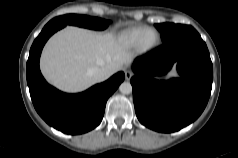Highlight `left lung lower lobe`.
<instances>
[{"mask_svg":"<svg viewBox=\"0 0 238 158\" xmlns=\"http://www.w3.org/2000/svg\"><path fill=\"white\" fill-rule=\"evenodd\" d=\"M174 63L180 78L154 79ZM131 78L138 120L158 132H175L195 121L209 100L213 67L205 42L196 30L164 42L153 52L137 57Z\"/></svg>","mask_w":238,"mask_h":158,"instance_id":"left-lung-lower-lobe-1","label":"left lung lower lobe"}]
</instances>
